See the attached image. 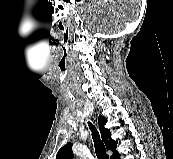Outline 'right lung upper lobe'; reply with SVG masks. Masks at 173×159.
Instances as JSON below:
<instances>
[{"label": "right lung upper lobe", "instance_id": "cb5924a9", "mask_svg": "<svg viewBox=\"0 0 173 159\" xmlns=\"http://www.w3.org/2000/svg\"><path fill=\"white\" fill-rule=\"evenodd\" d=\"M106 122L107 119L100 115L98 118V124L102 139L106 145L107 150H111L113 152L111 159H120V154L118 153V151H116L117 142L111 138L110 130L104 128ZM73 158L74 155L72 152V143L70 142L67 143L65 146H63L56 155V159H73Z\"/></svg>", "mask_w": 173, "mask_h": 159}]
</instances>
